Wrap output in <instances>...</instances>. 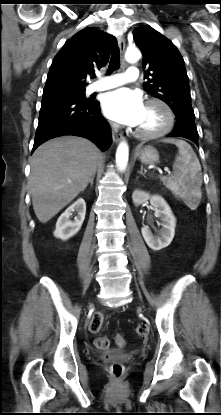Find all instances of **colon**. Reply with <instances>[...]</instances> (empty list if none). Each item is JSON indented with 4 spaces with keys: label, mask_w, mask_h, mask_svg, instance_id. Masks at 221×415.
I'll return each instance as SVG.
<instances>
[{
    "label": "colon",
    "mask_w": 221,
    "mask_h": 415,
    "mask_svg": "<svg viewBox=\"0 0 221 415\" xmlns=\"http://www.w3.org/2000/svg\"><path fill=\"white\" fill-rule=\"evenodd\" d=\"M171 194H176V189H171ZM176 197L178 198L179 196L177 195ZM104 317V313L102 312H97L92 316L89 323L91 332L97 333L101 330ZM148 330V326L145 323H140L136 327V334L144 338L147 336ZM114 341L118 347H123L125 345V338L121 334L115 335ZM95 344L98 349L105 350L109 347V340L106 337H99L96 339ZM109 369L115 380H119L124 372V366L117 361L112 362Z\"/></svg>",
    "instance_id": "1"
}]
</instances>
